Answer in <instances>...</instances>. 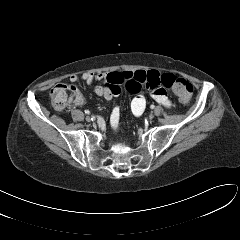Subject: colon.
I'll return each mask as SVG.
<instances>
[{
  "label": "colon",
  "mask_w": 240,
  "mask_h": 240,
  "mask_svg": "<svg viewBox=\"0 0 240 240\" xmlns=\"http://www.w3.org/2000/svg\"><path fill=\"white\" fill-rule=\"evenodd\" d=\"M161 82L165 88L172 89L181 102L187 103L190 100L193 93V86L185 79L178 78L171 73H166L162 75ZM78 92L75 86L58 84L51 89L49 100L55 109L63 110Z\"/></svg>",
  "instance_id": "colon-1"
}]
</instances>
